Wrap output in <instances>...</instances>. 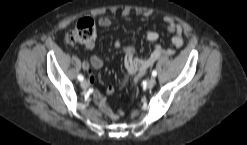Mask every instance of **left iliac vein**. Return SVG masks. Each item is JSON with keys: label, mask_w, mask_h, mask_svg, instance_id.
<instances>
[{"label": "left iliac vein", "mask_w": 247, "mask_h": 145, "mask_svg": "<svg viewBox=\"0 0 247 145\" xmlns=\"http://www.w3.org/2000/svg\"><path fill=\"white\" fill-rule=\"evenodd\" d=\"M156 84V79L154 77L150 78L148 81H147V88H153Z\"/></svg>", "instance_id": "obj_1"}]
</instances>
